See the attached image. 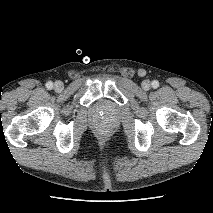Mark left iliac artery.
<instances>
[{
	"instance_id": "1",
	"label": "left iliac artery",
	"mask_w": 213,
	"mask_h": 213,
	"mask_svg": "<svg viewBox=\"0 0 213 213\" xmlns=\"http://www.w3.org/2000/svg\"><path fill=\"white\" fill-rule=\"evenodd\" d=\"M152 87L153 88H158L159 87V82L157 80L152 81Z\"/></svg>"
}]
</instances>
